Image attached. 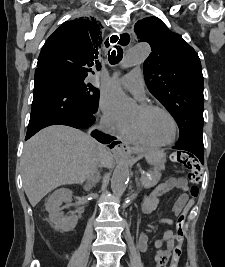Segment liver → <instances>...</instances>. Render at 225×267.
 <instances>
[{"instance_id": "obj_1", "label": "liver", "mask_w": 225, "mask_h": 267, "mask_svg": "<svg viewBox=\"0 0 225 267\" xmlns=\"http://www.w3.org/2000/svg\"><path fill=\"white\" fill-rule=\"evenodd\" d=\"M97 155V142L68 126H50L30 138L21 164L23 187L32 207L61 185L83 183ZM102 162L109 166L112 155L106 152Z\"/></svg>"}]
</instances>
